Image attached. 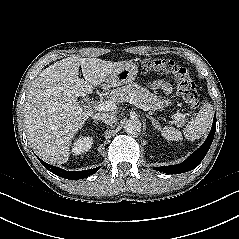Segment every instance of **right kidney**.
<instances>
[{
  "label": "right kidney",
  "mask_w": 239,
  "mask_h": 239,
  "mask_svg": "<svg viewBox=\"0 0 239 239\" xmlns=\"http://www.w3.org/2000/svg\"><path fill=\"white\" fill-rule=\"evenodd\" d=\"M93 144V137L90 136H83L78 138L72 147V152L74 155H80L82 153L87 152Z\"/></svg>",
  "instance_id": "1"
}]
</instances>
